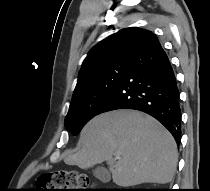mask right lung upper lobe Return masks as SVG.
Masks as SVG:
<instances>
[{
	"instance_id": "1",
	"label": "right lung upper lobe",
	"mask_w": 210,
	"mask_h": 191,
	"mask_svg": "<svg viewBox=\"0 0 210 191\" xmlns=\"http://www.w3.org/2000/svg\"><path fill=\"white\" fill-rule=\"evenodd\" d=\"M152 32L137 27L125 28L95 45L82 63L75 91L100 68L115 61H131L135 54L151 38Z\"/></svg>"
}]
</instances>
